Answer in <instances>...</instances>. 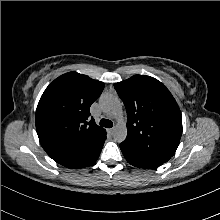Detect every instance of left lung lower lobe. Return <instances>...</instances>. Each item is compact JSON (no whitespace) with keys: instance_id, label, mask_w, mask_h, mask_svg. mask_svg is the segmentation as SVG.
I'll return each instance as SVG.
<instances>
[{"instance_id":"1","label":"left lung lower lobe","mask_w":220,"mask_h":220,"mask_svg":"<svg viewBox=\"0 0 220 220\" xmlns=\"http://www.w3.org/2000/svg\"><path fill=\"white\" fill-rule=\"evenodd\" d=\"M120 149L125 157V159L133 166L139 168L152 169L162 165L163 161L154 159L147 156L137 150H133L122 143L120 144Z\"/></svg>"}]
</instances>
